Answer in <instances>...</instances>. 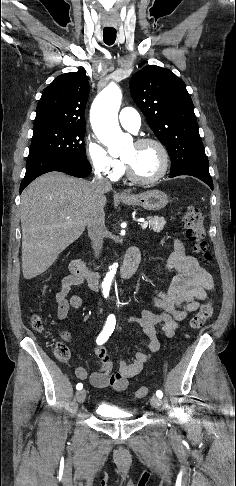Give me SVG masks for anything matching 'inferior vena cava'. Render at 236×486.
Segmentation results:
<instances>
[{
	"label": "inferior vena cava",
	"instance_id": "inferior-vena-cava-1",
	"mask_svg": "<svg viewBox=\"0 0 236 486\" xmlns=\"http://www.w3.org/2000/svg\"><path fill=\"white\" fill-rule=\"evenodd\" d=\"M90 186L96 203L88 220L87 229L91 239L92 248L94 250V255L98 258L102 251L103 240L107 231L105 226L104 208L100 204V201L103 194L111 189V183L100 173H96L95 177L90 183Z\"/></svg>",
	"mask_w": 236,
	"mask_h": 486
}]
</instances>
